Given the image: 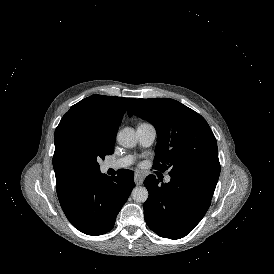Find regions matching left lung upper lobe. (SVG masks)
<instances>
[{
	"instance_id": "left-lung-upper-lobe-1",
	"label": "left lung upper lobe",
	"mask_w": 274,
	"mask_h": 274,
	"mask_svg": "<svg viewBox=\"0 0 274 274\" xmlns=\"http://www.w3.org/2000/svg\"><path fill=\"white\" fill-rule=\"evenodd\" d=\"M154 125L158 139L154 169L169 175H195L218 180L220 163L215 136L206 120L180 102L169 99H137L128 115Z\"/></svg>"
}]
</instances>
